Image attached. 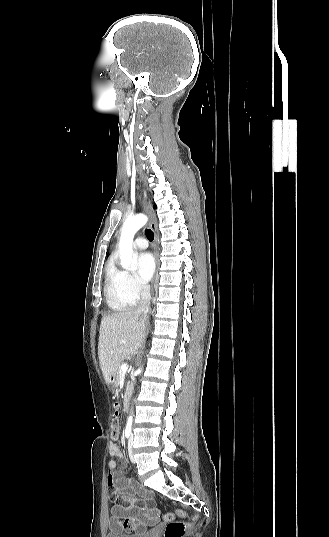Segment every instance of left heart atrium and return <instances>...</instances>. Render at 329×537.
Masks as SVG:
<instances>
[{
	"label": "left heart atrium",
	"mask_w": 329,
	"mask_h": 537,
	"mask_svg": "<svg viewBox=\"0 0 329 537\" xmlns=\"http://www.w3.org/2000/svg\"><path fill=\"white\" fill-rule=\"evenodd\" d=\"M155 261L151 253L143 252L137 257V272L143 282H147L153 275Z\"/></svg>",
	"instance_id": "left-heart-atrium-1"
}]
</instances>
